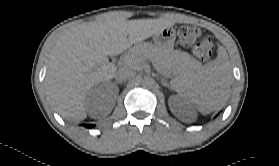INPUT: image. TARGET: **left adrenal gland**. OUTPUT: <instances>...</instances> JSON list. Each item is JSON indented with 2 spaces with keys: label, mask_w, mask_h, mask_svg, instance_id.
<instances>
[{
  "label": "left adrenal gland",
  "mask_w": 279,
  "mask_h": 166,
  "mask_svg": "<svg viewBox=\"0 0 279 166\" xmlns=\"http://www.w3.org/2000/svg\"><path fill=\"white\" fill-rule=\"evenodd\" d=\"M161 82H162L163 86L169 87V84H168L167 80H165L164 78L161 80Z\"/></svg>",
  "instance_id": "obj_1"
}]
</instances>
